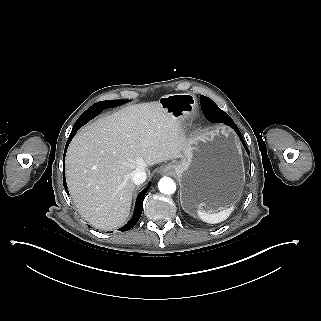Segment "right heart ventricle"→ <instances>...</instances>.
<instances>
[{"label":"right heart ventricle","mask_w":321,"mask_h":321,"mask_svg":"<svg viewBox=\"0 0 321 321\" xmlns=\"http://www.w3.org/2000/svg\"><path fill=\"white\" fill-rule=\"evenodd\" d=\"M176 122L178 124H183L185 122V117H183V116L177 117Z\"/></svg>","instance_id":"e07e8e85"}]
</instances>
